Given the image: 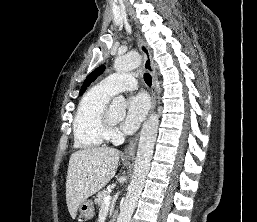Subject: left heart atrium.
Listing matches in <instances>:
<instances>
[{
    "mask_svg": "<svg viewBox=\"0 0 257 222\" xmlns=\"http://www.w3.org/2000/svg\"><path fill=\"white\" fill-rule=\"evenodd\" d=\"M149 109V100L144 94L133 95L129 98L126 115L121 123L124 132H134L144 120Z\"/></svg>",
    "mask_w": 257,
    "mask_h": 222,
    "instance_id": "obj_1",
    "label": "left heart atrium"
}]
</instances>
